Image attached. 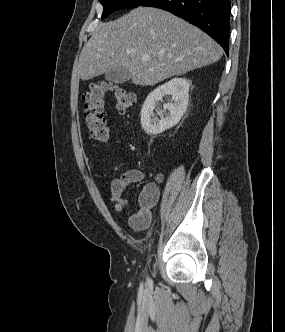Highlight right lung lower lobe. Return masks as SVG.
I'll return each instance as SVG.
<instances>
[{
	"label": "right lung lower lobe",
	"instance_id": "1",
	"mask_svg": "<svg viewBox=\"0 0 285 332\" xmlns=\"http://www.w3.org/2000/svg\"><path fill=\"white\" fill-rule=\"evenodd\" d=\"M142 6L161 8L192 23L217 41L228 55L230 0H147Z\"/></svg>",
	"mask_w": 285,
	"mask_h": 332
}]
</instances>
